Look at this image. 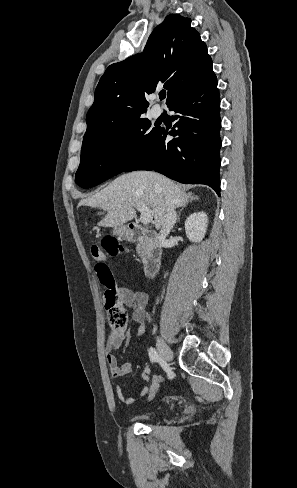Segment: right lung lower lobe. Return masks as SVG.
Segmentation results:
<instances>
[{
    "mask_svg": "<svg viewBox=\"0 0 297 488\" xmlns=\"http://www.w3.org/2000/svg\"><path fill=\"white\" fill-rule=\"evenodd\" d=\"M174 128L159 129L146 150L125 171L155 170L175 181L206 184L220 195V99L213 75L169 106ZM169 135L177 136L172 140Z\"/></svg>",
    "mask_w": 297,
    "mask_h": 488,
    "instance_id": "1",
    "label": "right lung lower lobe"
}]
</instances>
